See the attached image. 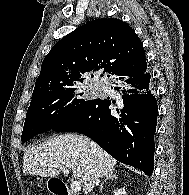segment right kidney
<instances>
[{"mask_svg": "<svg viewBox=\"0 0 189 195\" xmlns=\"http://www.w3.org/2000/svg\"><path fill=\"white\" fill-rule=\"evenodd\" d=\"M114 195H127L126 191H125V187L121 188V189H117L114 191Z\"/></svg>", "mask_w": 189, "mask_h": 195, "instance_id": "1", "label": "right kidney"}]
</instances>
